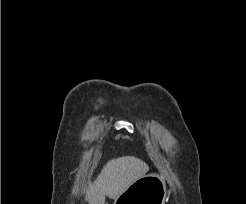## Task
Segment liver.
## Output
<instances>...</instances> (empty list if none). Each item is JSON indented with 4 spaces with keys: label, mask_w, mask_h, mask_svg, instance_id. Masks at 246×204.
I'll use <instances>...</instances> for the list:
<instances>
[{
    "label": "liver",
    "mask_w": 246,
    "mask_h": 204,
    "mask_svg": "<svg viewBox=\"0 0 246 204\" xmlns=\"http://www.w3.org/2000/svg\"><path fill=\"white\" fill-rule=\"evenodd\" d=\"M148 171L149 166L137 157L124 156L112 159L89 185L86 200L89 204H105L106 196L116 199Z\"/></svg>",
    "instance_id": "6515ba94"
}]
</instances>
